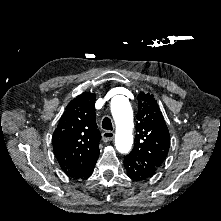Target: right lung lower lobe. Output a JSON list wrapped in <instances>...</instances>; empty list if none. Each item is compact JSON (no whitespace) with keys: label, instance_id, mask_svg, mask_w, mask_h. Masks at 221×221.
<instances>
[{"label":"right lung lower lobe","instance_id":"98d812e1","mask_svg":"<svg viewBox=\"0 0 221 221\" xmlns=\"http://www.w3.org/2000/svg\"><path fill=\"white\" fill-rule=\"evenodd\" d=\"M95 164H96V162L93 163L80 177L75 178V180L88 179L91 176V174H92V172L94 170Z\"/></svg>","mask_w":221,"mask_h":221}]
</instances>
